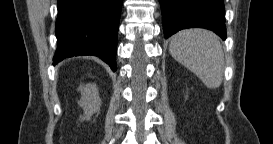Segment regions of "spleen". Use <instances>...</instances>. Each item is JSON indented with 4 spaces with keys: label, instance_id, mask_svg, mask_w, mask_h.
<instances>
[{
    "label": "spleen",
    "instance_id": "3e777b00",
    "mask_svg": "<svg viewBox=\"0 0 273 144\" xmlns=\"http://www.w3.org/2000/svg\"><path fill=\"white\" fill-rule=\"evenodd\" d=\"M171 56L193 72L210 89L222 83L224 54L218 37L205 29H186L175 34Z\"/></svg>",
    "mask_w": 273,
    "mask_h": 144
}]
</instances>
